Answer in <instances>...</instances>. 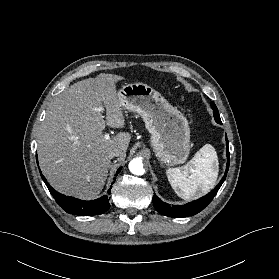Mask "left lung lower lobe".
I'll return each mask as SVG.
<instances>
[{"instance_id": "0a47b994", "label": "left lung lower lobe", "mask_w": 279, "mask_h": 279, "mask_svg": "<svg viewBox=\"0 0 279 279\" xmlns=\"http://www.w3.org/2000/svg\"><path fill=\"white\" fill-rule=\"evenodd\" d=\"M226 156H227V168L225 175L219 182V184L206 196L187 203L185 205H169L163 201H161L155 194L153 196V205L155 209L161 213L162 215L168 216V217H187V216H193L197 213H199L201 210H203L213 199V197L216 195L218 192L219 188L223 184L226 178V173L228 172L229 169V148H228V140L226 138Z\"/></svg>"}]
</instances>
